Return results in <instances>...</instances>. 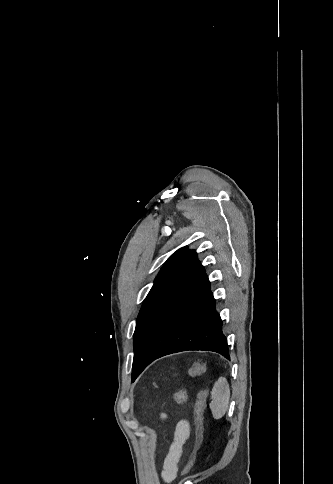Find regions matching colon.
<instances>
[{
	"mask_svg": "<svg viewBox=\"0 0 333 484\" xmlns=\"http://www.w3.org/2000/svg\"><path fill=\"white\" fill-rule=\"evenodd\" d=\"M205 368H206V364L204 361L195 363L190 368L189 375L191 377H196L202 374L205 371ZM208 393H209V389H204L200 391L195 401V405H194L195 442H194L191 455L182 470V475L187 474L193 467L197 452L202 442L204 409H205ZM187 398H188V394L185 388H181L174 395L175 402L178 405H183L187 401Z\"/></svg>",
	"mask_w": 333,
	"mask_h": 484,
	"instance_id": "1",
	"label": "colon"
}]
</instances>
